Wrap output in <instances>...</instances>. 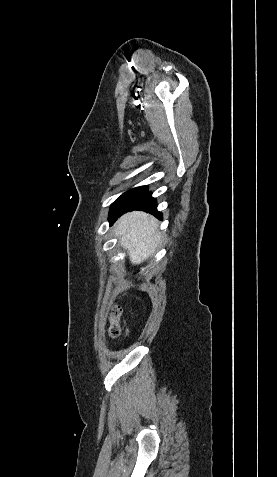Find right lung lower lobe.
Instances as JSON below:
<instances>
[{
	"label": "right lung lower lobe",
	"instance_id": "98d812e1",
	"mask_svg": "<svg viewBox=\"0 0 277 477\" xmlns=\"http://www.w3.org/2000/svg\"><path fill=\"white\" fill-rule=\"evenodd\" d=\"M132 210H143L148 213H151L161 219L162 215L157 211L156 199L152 197L151 192L145 191L129 208L123 211L120 215L125 212Z\"/></svg>",
	"mask_w": 277,
	"mask_h": 477
}]
</instances>
